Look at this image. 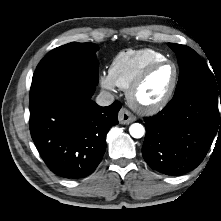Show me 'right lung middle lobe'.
Segmentation results:
<instances>
[{"instance_id": "right-lung-middle-lobe-1", "label": "right lung middle lobe", "mask_w": 221, "mask_h": 221, "mask_svg": "<svg viewBox=\"0 0 221 221\" xmlns=\"http://www.w3.org/2000/svg\"><path fill=\"white\" fill-rule=\"evenodd\" d=\"M94 43L72 42L48 53L38 64L32 78L30 101L48 85L66 77H81L98 83V62Z\"/></svg>"}]
</instances>
